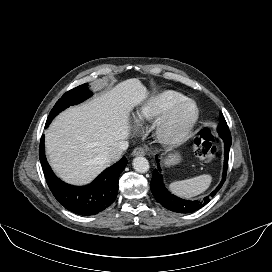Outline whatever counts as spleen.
<instances>
[{"label":"spleen","instance_id":"1","mask_svg":"<svg viewBox=\"0 0 272 272\" xmlns=\"http://www.w3.org/2000/svg\"><path fill=\"white\" fill-rule=\"evenodd\" d=\"M212 181V177L203 174L190 179L175 181L170 184V190L177 196L192 198L206 191Z\"/></svg>","mask_w":272,"mask_h":272}]
</instances>
